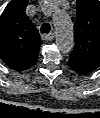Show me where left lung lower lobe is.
<instances>
[{
    "instance_id": "1",
    "label": "left lung lower lobe",
    "mask_w": 100,
    "mask_h": 118,
    "mask_svg": "<svg viewBox=\"0 0 100 118\" xmlns=\"http://www.w3.org/2000/svg\"><path fill=\"white\" fill-rule=\"evenodd\" d=\"M70 67H71L72 70H74L75 72H77V73H79V74H81V75H86V74H88L87 72H85V71H83L82 69H79V68H77V67H72V66H70Z\"/></svg>"
}]
</instances>
